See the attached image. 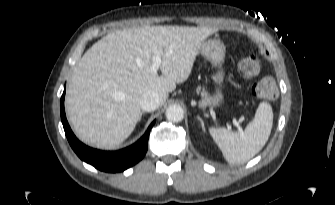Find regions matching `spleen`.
<instances>
[{
  "mask_svg": "<svg viewBox=\"0 0 335 205\" xmlns=\"http://www.w3.org/2000/svg\"><path fill=\"white\" fill-rule=\"evenodd\" d=\"M273 125L272 107L261 102L254 119L244 131L210 128L209 132L229 164H242L253 158L266 144Z\"/></svg>",
  "mask_w": 335,
  "mask_h": 205,
  "instance_id": "spleen-1",
  "label": "spleen"
}]
</instances>
